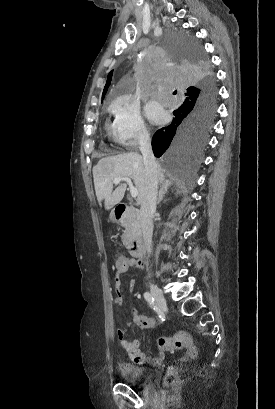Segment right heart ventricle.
Returning <instances> with one entry per match:
<instances>
[{
    "instance_id": "right-heart-ventricle-1",
    "label": "right heart ventricle",
    "mask_w": 275,
    "mask_h": 409,
    "mask_svg": "<svg viewBox=\"0 0 275 409\" xmlns=\"http://www.w3.org/2000/svg\"><path fill=\"white\" fill-rule=\"evenodd\" d=\"M107 130L113 135V137L117 138V133L114 125L107 124Z\"/></svg>"
}]
</instances>
